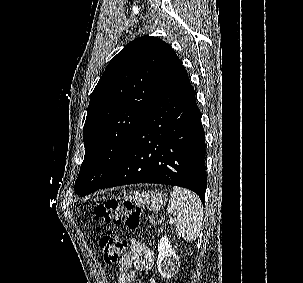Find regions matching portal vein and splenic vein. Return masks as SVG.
<instances>
[{
    "mask_svg": "<svg viewBox=\"0 0 303 283\" xmlns=\"http://www.w3.org/2000/svg\"><path fill=\"white\" fill-rule=\"evenodd\" d=\"M174 221V219L173 218H170V221L169 222H173Z\"/></svg>",
    "mask_w": 303,
    "mask_h": 283,
    "instance_id": "1",
    "label": "portal vein and splenic vein"
}]
</instances>
